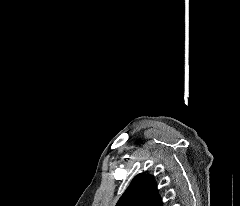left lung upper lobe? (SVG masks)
<instances>
[{"instance_id": "1", "label": "left lung upper lobe", "mask_w": 240, "mask_h": 206, "mask_svg": "<svg viewBox=\"0 0 240 206\" xmlns=\"http://www.w3.org/2000/svg\"><path fill=\"white\" fill-rule=\"evenodd\" d=\"M116 206H163L153 176L144 173L137 175Z\"/></svg>"}]
</instances>
